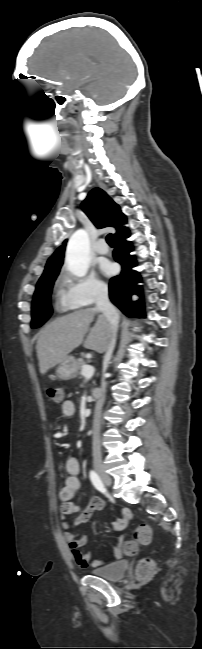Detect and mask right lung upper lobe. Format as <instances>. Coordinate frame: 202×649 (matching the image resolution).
Wrapping results in <instances>:
<instances>
[{"label": "right lung upper lobe", "instance_id": "obj_1", "mask_svg": "<svg viewBox=\"0 0 202 649\" xmlns=\"http://www.w3.org/2000/svg\"><path fill=\"white\" fill-rule=\"evenodd\" d=\"M81 207L97 228L114 227L116 229L114 238L127 231L122 226L126 222V216L121 212L120 207L102 189L94 188L91 190L82 202ZM66 242L67 240L48 259L42 276L56 272L59 273L63 264Z\"/></svg>", "mask_w": 202, "mask_h": 649}]
</instances>
